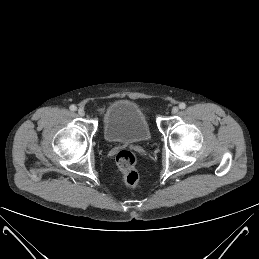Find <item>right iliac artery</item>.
<instances>
[{
	"label": "right iliac artery",
	"mask_w": 259,
	"mask_h": 259,
	"mask_svg": "<svg viewBox=\"0 0 259 259\" xmlns=\"http://www.w3.org/2000/svg\"><path fill=\"white\" fill-rule=\"evenodd\" d=\"M69 108H70L71 111H76L77 110V107L75 105H71Z\"/></svg>",
	"instance_id": "1"
}]
</instances>
